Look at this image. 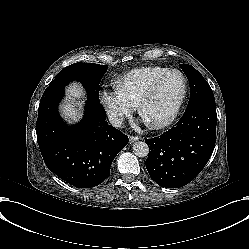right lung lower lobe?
I'll list each match as a JSON object with an SVG mask.
<instances>
[{
    "instance_id": "98d812e1",
    "label": "right lung lower lobe",
    "mask_w": 249,
    "mask_h": 249,
    "mask_svg": "<svg viewBox=\"0 0 249 249\" xmlns=\"http://www.w3.org/2000/svg\"><path fill=\"white\" fill-rule=\"evenodd\" d=\"M64 88L49 86L39 104L37 140L50 171L76 187L91 188L110 175V166L128 137L106 121L103 106L88 99L83 120L66 125L57 107Z\"/></svg>"
}]
</instances>
